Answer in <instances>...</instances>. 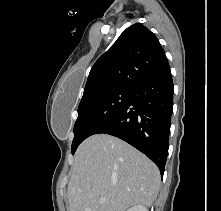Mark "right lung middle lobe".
Returning <instances> with one entry per match:
<instances>
[{
	"label": "right lung middle lobe",
	"mask_w": 221,
	"mask_h": 211,
	"mask_svg": "<svg viewBox=\"0 0 221 211\" xmlns=\"http://www.w3.org/2000/svg\"><path fill=\"white\" fill-rule=\"evenodd\" d=\"M130 95L131 88H119L80 102L74 125L72 154L84 139L95 134L121 110Z\"/></svg>",
	"instance_id": "obj_1"
}]
</instances>
